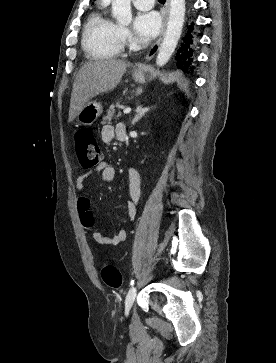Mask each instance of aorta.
I'll return each instance as SVG.
<instances>
[{
	"mask_svg": "<svg viewBox=\"0 0 276 363\" xmlns=\"http://www.w3.org/2000/svg\"><path fill=\"white\" fill-rule=\"evenodd\" d=\"M185 11V0H170L169 21L156 59L159 67L164 66L175 51L182 33ZM112 15L121 24H129L132 20L131 0H112Z\"/></svg>",
	"mask_w": 276,
	"mask_h": 363,
	"instance_id": "1",
	"label": "aorta"
}]
</instances>
